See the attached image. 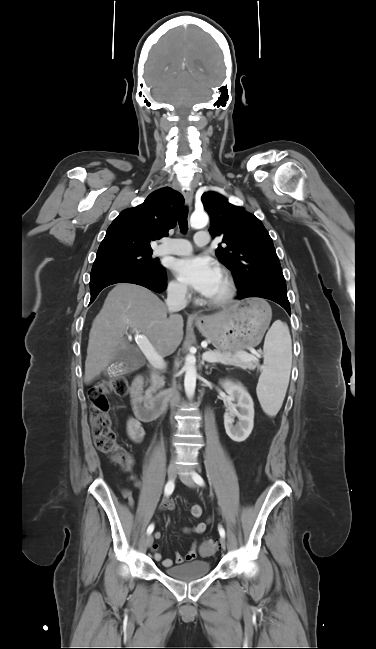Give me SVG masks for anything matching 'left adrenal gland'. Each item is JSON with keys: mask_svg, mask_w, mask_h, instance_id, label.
I'll return each instance as SVG.
<instances>
[{"mask_svg": "<svg viewBox=\"0 0 376 649\" xmlns=\"http://www.w3.org/2000/svg\"><path fill=\"white\" fill-rule=\"evenodd\" d=\"M205 368H206V370H207L208 368H210V371H211L213 367L207 364V365H205Z\"/></svg>", "mask_w": 376, "mask_h": 649, "instance_id": "left-adrenal-gland-1", "label": "left adrenal gland"}]
</instances>
